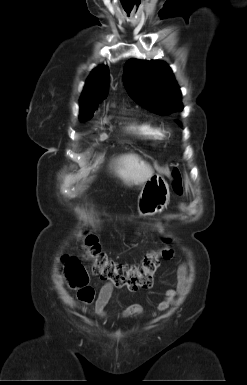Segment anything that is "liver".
Listing matches in <instances>:
<instances>
[{
	"mask_svg": "<svg viewBox=\"0 0 247 385\" xmlns=\"http://www.w3.org/2000/svg\"><path fill=\"white\" fill-rule=\"evenodd\" d=\"M115 173L128 185H144L154 174L153 168L138 155L129 153L115 160Z\"/></svg>",
	"mask_w": 247,
	"mask_h": 385,
	"instance_id": "obj_1",
	"label": "liver"
}]
</instances>
